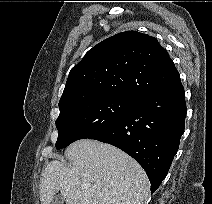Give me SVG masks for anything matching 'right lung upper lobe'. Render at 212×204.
I'll list each match as a JSON object with an SVG mask.
<instances>
[{
  "label": "right lung upper lobe",
  "instance_id": "obj_1",
  "mask_svg": "<svg viewBox=\"0 0 212 204\" xmlns=\"http://www.w3.org/2000/svg\"><path fill=\"white\" fill-rule=\"evenodd\" d=\"M178 81L179 73L157 39L126 31L94 46L71 69L59 107L107 96L136 100Z\"/></svg>",
  "mask_w": 212,
  "mask_h": 204
}]
</instances>
